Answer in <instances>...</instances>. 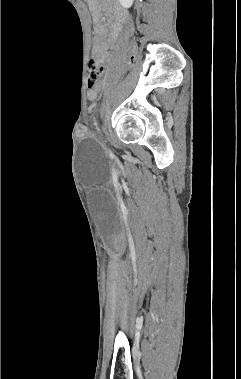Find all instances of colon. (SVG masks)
Listing matches in <instances>:
<instances>
[{"instance_id": "obj_1", "label": "colon", "mask_w": 241, "mask_h": 379, "mask_svg": "<svg viewBox=\"0 0 241 379\" xmlns=\"http://www.w3.org/2000/svg\"><path fill=\"white\" fill-rule=\"evenodd\" d=\"M130 42H135V37H130ZM140 44H131L130 45V51L128 53V58L125 59V64L126 65H134L137 57L139 56V51H140ZM102 73V67L99 64V62L96 59H91L88 64V86L93 87L97 80L100 78ZM120 73L122 75H125L127 73V70L125 68H122L120 70ZM105 87L103 84H98L97 85V96L100 98H103L105 95Z\"/></svg>"}]
</instances>
